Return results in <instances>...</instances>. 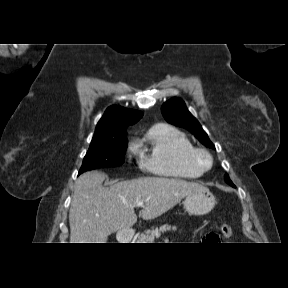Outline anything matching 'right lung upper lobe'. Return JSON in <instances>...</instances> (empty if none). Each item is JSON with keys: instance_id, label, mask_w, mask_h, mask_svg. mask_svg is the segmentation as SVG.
<instances>
[{"instance_id": "right-lung-upper-lobe-1", "label": "right lung upper lobe", "mask_w": 288, "mask_h": 288, "mask_svg": "<svg viewBox=\"0 0 288 288\" xmlns=\"http://www.w3.org/2000/svg\"><path fill=\"white\" fill-rule=\"evenodd\" d=\"M142 115V112L139 111L120 106H110L97 123L92 140L114 137L126 133L127 127L135 124Z\"/></svg>"}]
</instances>
